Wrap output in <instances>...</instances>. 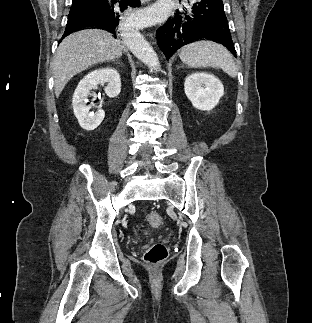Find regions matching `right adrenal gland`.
Segmentation results:
<instances>
[{
    "instance_id": "obj_1",
    "label": "right adrenal gland",
    "mask_w": 312,
    "mask_h": 323,
    "mask_svg": "<svg viewBox=\"0 0 312 323\" xmlns=\"http://www.w3.org/2000/svg\"><path fill=\"white\" fill-rule=\"evenodd\" d=\"M115 64H119V60H114Z\"/></svg>"
}]
</instances>
